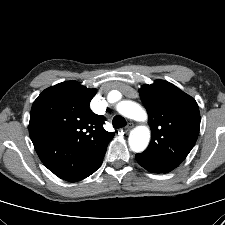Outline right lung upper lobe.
<instances>
[{"instance_id":"cb5924a9","label":"right lung upper lobe","mask_w":225,"mask_h":225,"mask_svg":"<svg viewBox=\"0 0 225 225\" xmlns=\"http://www.w3.org/2000/svg\"><path fill=\"white\" fill-rule=\"evenodd\" d=\"M96 89L66 81L45 89L34 101L29 134L43 164L70 182L91 175L114 132L103 128L90 101Z\"/></svg>"}]
</instances>
